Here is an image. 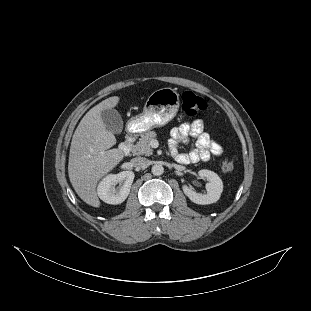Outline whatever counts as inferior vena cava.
Masks as SVG:
<instances>
[{"label": "inferior vena cava", "mask_w": 311, "mask_h": 311, "mask_svg": "<svg viewBox=\"0 0 311 311\" xmlns=\"http://www.w3.org/2000/svg\"><path fill=\"white\" fill-rule=\"evenodd\" d=\"M131 164L134 167L145 169L149 166V160L143 157H135L131 160Z\"/></svg>", "instance_id": "1"}]
</instances>
